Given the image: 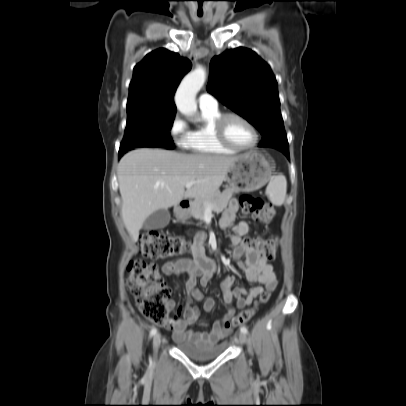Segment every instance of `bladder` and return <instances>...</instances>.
<instances>
[{
	"instance_id": "31cf9c89",
	"label": "bladder",
	"mask_w": 406,
	"mask_h": 406,
	"mask_svg": "<svg viewBox=\"0 0 406 406\" xmlns=\"http://www.w3.org/2000/svg\"><path fill=\"white\" fill-rule=\"evenodd\" d=\"M180 352L196 361H209L220 356L224 346L216 343L206 345H194L186 342H176Z\"/></svg>"
}]
</instances>
